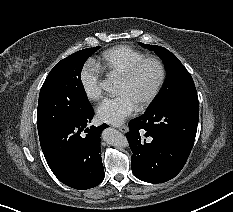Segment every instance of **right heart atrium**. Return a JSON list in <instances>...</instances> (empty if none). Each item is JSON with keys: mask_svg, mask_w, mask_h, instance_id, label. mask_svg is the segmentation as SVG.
I'll use <instances>...</instances> for the list:
<instances>
[{"mask_svg": "<svg viewBox=\"0 0 233 212\" xmlns=\"http://www.w3.org/2000/svg\"><path fill=\"white\" fill-rule=\"evenodd\" d=\"M79 80L85 96L91 100H98L102 95L101 90V70L96 64L87 62L83 65Z\"/></svg>", "mask_w": 233, "mask_h": 212, "instance_id": "d8ad5b80", "label": "right heart atrium"}]
</instances>
